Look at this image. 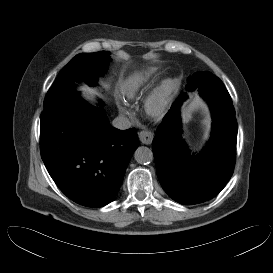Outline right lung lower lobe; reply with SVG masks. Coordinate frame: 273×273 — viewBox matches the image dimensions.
Instances as JSON below:
<instances>
[{"instance_id": "obj_1", "label": "right lung lower lobe", "mask_w": 273, "mask_h": 273, "mask_svg": "<svg viewBox=\"0 0 273 273\" xmlns=\"http://www.w3.org/2000/svg\"><path fill=\"white\" fill-rule=\"evenodd\" d=\"M138 146L136 129L112 127L104 111L90 106L77 90L44 106L42 160L60 190L80 205L102 207L113 200Z\"/></svg>"}]
</instances>
